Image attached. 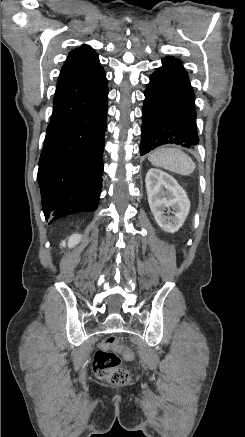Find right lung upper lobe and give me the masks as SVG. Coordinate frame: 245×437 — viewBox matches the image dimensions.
<instances>
[{
    "mask_svg": "<svg viewBox=\"0 0 245 437\" xmlns=\"http://www.w3.org/2000/svg\"><path fill=\"white\" fill-rule=\"evenodd\" d=\"M98 54L88 45L72 50L59 75L54 98H60L93 88L106 80Z\"/></svg>",
    "mask_w": 245,
    "mask_h": 437,
    "instance_id": "cb5924a9",
    "label": "right lung upper lobe"
}]
</instances>
